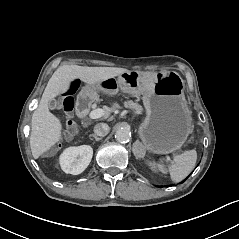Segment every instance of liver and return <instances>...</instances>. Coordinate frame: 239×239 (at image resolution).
<instances>
[{"mask_svg":"<svg viewBox=\"0 0 239 239\" xmlns=\"http://www.w3.org/2000/svg\"><path fill=\"white\" fill-rule=\"evenodd\" d=\"M126 72H128L127 69L117 67L60 66L49 79L39 106L32 115L30 147L33 157L37 159L55 145L61 137V123L48 108L50 99L65 92L70 81L75 78L87 84H95ZM108 115L106 113L105 118Z\"/></svg>","mask_w":239,"mask_h":239,"instance_id":"1","label":"liver"}]
</instances>
